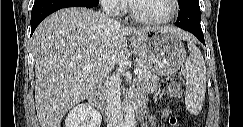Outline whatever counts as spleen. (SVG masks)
Listing matches in <instances>:
<instances>
[{
	"instance_id": "3e777b00",
	"label": "spleen",
	"mask_w": 243,
	"mask_h": 127,
	"mask_svg": "<svg viewBox=\"0 0 243 127\" xmlns=\"http://www.w3.org/2000/svg\"><path fill=\"white\" fill-rule=\"evenodd\" d=\"M190 55L181 70L186 79L185 104L192 114H199L206 93V68L201 51L188 42Z\"/></svg>"
}]
</instances>
